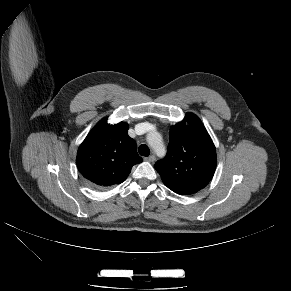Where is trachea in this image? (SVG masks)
Returning <instances> with one entry per match:
<instances>
[{"label": "trachea", "instance_id": "obj_1", "mask_svg": "<svg viewBox=\"0 0 291 291\" xmlns=\"http://www.w3.org/2000/svg\"><path fill=\"white\" fill-rule=\"evenodd\" d=\"M139 154H140L141 156L148 157L149 154H150V149H149V147H148L147 145H145V144L140 145V146H139Z\"/></svg>", "mask_w": 291, "mask_h": 291}]
</instances>
